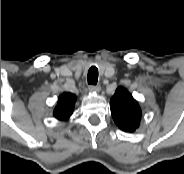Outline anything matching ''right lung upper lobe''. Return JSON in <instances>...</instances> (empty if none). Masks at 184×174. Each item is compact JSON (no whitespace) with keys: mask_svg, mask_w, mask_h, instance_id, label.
<instances>
[{"mask_svg":"<svg viewBox=\"0 0 184 174\" xmlns=\"http://www.w3.org/2000/svg\"><path fill=\"white\" fill-rule=\"evenodd\" d=\"M76 102V95L64 92L59 96L53 115L61 121L68 120L72 115Z\"/></svg>","mask_w":184,"mask_h":174,"instance_id":"right-lung-upper-lobe-1","label":"right lung upper lobe"}]
</instances>
